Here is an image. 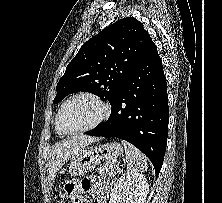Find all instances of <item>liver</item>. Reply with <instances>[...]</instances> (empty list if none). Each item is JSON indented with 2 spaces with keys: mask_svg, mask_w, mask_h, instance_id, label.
<instances>
[{
  "mask_svg": "<svg viewBox=\"0 0 222 203\" xmlns=\"http://www.w3.org/2000/svg\"><path fill=\"white\" fill-rule=\"evenodd\" d=\"M98 140V138L79 135L62 140L52 146L48 157L49 180L53 181L59 169L79 150Z\"/></svg>",
  "mask_w": 222,
  "mask_h": 203,
  "instance_id": "liver-1",
  "label": "liver"
}]
</instances>
